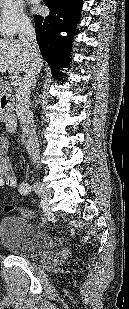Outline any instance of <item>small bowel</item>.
I'll use <instances>...</instances> for the list:
<instances>
[{
  "label": "small bowel",
  "instance_id": "1",
  "mask_svg": "<svg viewBox=\"0 0 129 309\" xmlns=\"http://www.w3.org/2000/svg\"><path fill=\"white\" fill-rule=\"evenodd\" d=\"M6 141L0 137V188L17 186V177L5 152Z\"/></svg>",
  "mask_w": 129,
  "mask_h": 309
}]
</instances>
